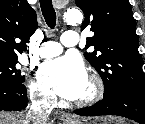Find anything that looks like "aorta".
Masks as SVG:
<instances>
[{"instance_id": "obj_1", "label": "aorta", "mask_w": 145, "mask_h": 124, "mask_svg": "<svg viewBox=\"0 0 145 124\" xmlns=\"http://www.w3.org/2000/svg\"><path fill=\"white\" fill-rule=\"evenodd\" d=\"M65 21L69 25H77L82 22V13L77 9H69L64 15Z\"/></svg>"}]
</instances>
